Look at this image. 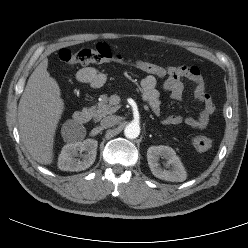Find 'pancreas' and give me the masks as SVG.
<instances>
[{
  "label": "pancreas",
  "mask_w": 248,
  "mask_h": 248,
  "mask_svg": "<svg viewBox=\"0 0 248 248\" xmlns=\"http://www.w3.org/2000/svg\"><path fill=\"white\" fill-rule=\"evenodd\" d=\"M120 108L119 105H113L107 95H102L101 100L96 106H93L90 111L93 117L97 120L115 113Z\"/></svg>",
  "instance_id": "cf45deb5"
}]
</instances>
